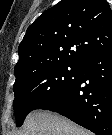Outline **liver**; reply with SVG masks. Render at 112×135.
<instances>
[{
	"mask_svg": "<svg viewBox=\"0 0 112 135\" xmlns=\"http://www.w3.org/2000/svg\"><path fill=\"white\" fill-rule=\"evenodd\" d=\"M18 135H92L72 121L49 111L31 112Z\"/></svg>",
	"mask_w": 112,
	"mask_h": 135,
	"instance_id": "1",
	"label": "liver"
}]
</instances>
